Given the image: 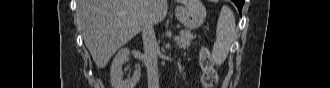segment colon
Returning <instances> with one entry per match:
<instances>
[{
  "mask_svg": "<svg viewBox=\"0 0 330 88\" xmlns=\"http://www.w3.org/2000/svg\"><path fill=\"white\" fill-rule=\"evenodd\" d=\"M200 67L202 69V84L206 88H211L217 81V73L213 67V63L207 49L200 51Z\"/></svg>",
  "mask_w": 330,
  "mask_h": 88,
  "instance_id": "1",
  "label": "colon"
}]
</instances>
